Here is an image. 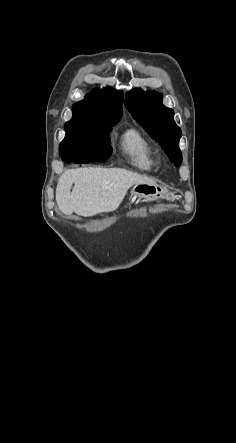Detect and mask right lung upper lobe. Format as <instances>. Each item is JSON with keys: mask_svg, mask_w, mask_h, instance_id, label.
<instances>
[{"mask_svg": "<svg viewBox=\"0 0 236 443\" xmlns=\"http://www.w3.org/2000/svg\"><path fill=\"white\" fill-rule=\"evenodd\" d=\"M122 91L110 88L97 89L72 106L74 116H102L121 119Z\"/></svg>", "mask_w": 236, "mask_h": 443, "instance_id": "right-lung-upper-lobe-1", "label": "right lung upper lobe"}]
</instances>
